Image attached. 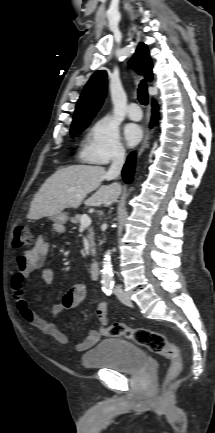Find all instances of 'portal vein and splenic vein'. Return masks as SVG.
<instances>
[{
	"instance_id": "obj_1",
	"label": "portal vein and splenic vein",
	"mask_w": 215,
	"mask_h": 433,
	"mask_svg": "<svg viewBox=\"0 0 215 433\" xmlns=\"http://www.w3.org/2000/svg\"><path fill=\"white\" fill-rule=\"evenodd\" d=\"M80 223H81V226H82V227H88V226H90V224H91V219H90L87 215H84V216L81 218Z\"/></svg>"
}]
</instances>
